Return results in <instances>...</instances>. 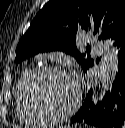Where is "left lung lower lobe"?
Returning <instances> with one entry per match:
<instances>
[{"mask_svg":"<svg viewBox=\"0 0 125 128\" xmlns=\"http://www.w3.org/2000/svg\"><path fill=\"white\" fill-rule=\"evenodd\" d=\"M112 39L115 40L118 54V69L112 89L96 105L92 102L91 89L80 110L72 117V122L84 121L101 128H125V25Z\"/></svg>","mask_w":125,"mask_h":128,"instance_id":"1","label":"left lung lower lobe"}]
</instances>
